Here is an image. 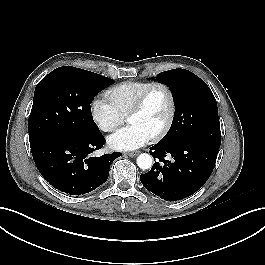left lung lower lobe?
<instances>
[{"label":"left lung lower lobe","instance_id":"obj_1","mask_svg":"<svg viewBox=\"0 0 265 265\" xmlns=\"http://www.w3.org/2000/svg\"><path fill=\"white\" fill-rule=\"evenodd\" d=\"M219 148L220 145L200 138L158 142L149 151L155 164L148 173L140 176L141 183L167 201L191 196L210 177Z\"/></svg>","mask_w":265,"mask_h":265}]
</instances>
